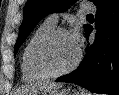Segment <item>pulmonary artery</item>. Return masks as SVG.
<instances>
[{"instance_id": "1", "label": "pulmonary artery", "mask_w": 119, "mask_h": 95, "mask_svg": "<svg viewBox=\"0 0 119 95\" xmlns=\"http://www.w3.org/2000/svg\"><path fill=\"white\" fill-rule=\"evenodd\" d=\"M81 7L85 11H93L94 10L93 6L90 5V4H87V3L82 4ZM47 20H49L50 22L56 24L57 21H58V16L56 14H52V15L48 16Z\"/></svg>"}]
</instances>
